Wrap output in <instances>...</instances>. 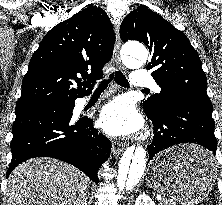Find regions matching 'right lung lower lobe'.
Instances as JSON below:
<instances>
[{"label":"right lung lower lobe","instance_id":"obj_1","mask_svg":"<svg viewBox=\"0 0 222 205\" xmlns=\"http://www.w3.org/2000/svg\"><path fill=\"white\" fill-rule=\"evenodd\" d=\"M90 91L83 94L88 95ZM80 96V97H82ZM75 101L63 104L37 101L16 105L11 141L12 160L7 171L34 157H52L83 171L96 184L97 171L107 160L111 142L93 128L88 116L72 118Z\"/></svg>","mask_w":222,"mask_h":205}]
</instances>
